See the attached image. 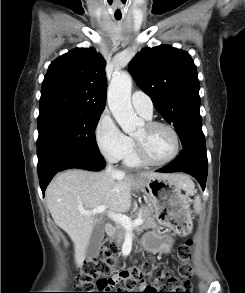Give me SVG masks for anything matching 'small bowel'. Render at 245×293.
Listing matches in <instances>:
<instances>
[{
	"label": "small bowel",
	"mask_w": 245,
	"mask_h": 293,
	"mask_svg": "<svg viewBox=\"0 0 245 293\" xmlns=\"http://www.w3.org/2000/svg\"><path fill=\"white\" fill-rule=\"evenodd\" d=\"M162 239H163V250L166 251L168 246H169L170 236L169 235H164Z\"/></svg>",
	"instance_id": "small-bowel-1"
}]
</instances>
